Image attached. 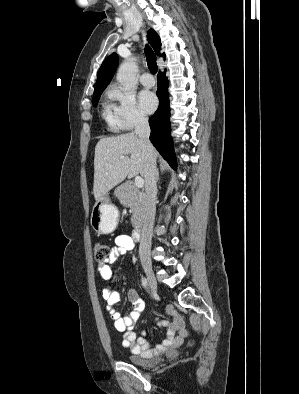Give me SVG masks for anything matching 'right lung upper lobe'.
<instances>
[{"mask_svg":"<svg viewBox=\"0 0 299 394\" xmlns=\"http://www.w3.org/2000/svg\"><path fill=\"white\" fill-rule=\"evenodd\" d=\"M148 40L151 43L152 47L154 48L156 54L158 56H162L165 58V54L160 53L161 49V41L158 34L153 30L150 29L148 31ZM118 55L116 53H112L109 57H107L104 62L102 63L95 85L94 95L99 94L104 91L107 85L110 83L115 70L118 66Z\"/></svg>","mask_w":299,"mask_h":394,"instance_id":"obj_1","label":"right lung upper lobe"}]
</instances>
